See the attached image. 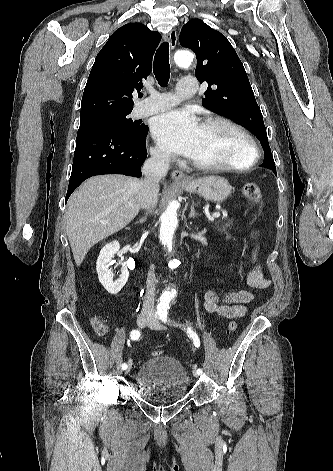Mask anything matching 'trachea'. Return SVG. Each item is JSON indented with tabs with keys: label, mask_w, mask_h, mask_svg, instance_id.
Returning a JSON list of instances; mask_svg holds the SVG:
<instances>
[{
	"label": "trachea",
	"mask_w": 333,
	"mask_h": 471,
	"mask_svg": "<svg viewBox=\"0 0 333 471\" xmlns=\"http://www.w3.org/2000/svg\"><path fill=\"white\" fill-rule=\"evenodd\" d=\"M153 73L161 87L167 86L170 79L168 42H163L156 51L153 64Z\"/></svg>",
	"instance_id": "1"
}]
</instances>
